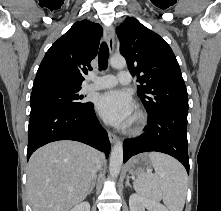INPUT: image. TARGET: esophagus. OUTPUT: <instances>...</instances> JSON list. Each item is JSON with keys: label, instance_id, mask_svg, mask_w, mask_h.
I'll list each match as a JSON object with an SVG mask.
<instances>
[{"label": "esophagus", "instance_id": "1", "mask_svg": "<svg viewBox=\"0 0 221 211\" xmlns=\"http://www.w3.org/2000/svg\"><path fill=\"white\" fill-rule=\"evenodd\" d=\"M104 33H105L106 41L109 47V51L110 53H113L114 44H115L114 28L112 26H106L104 27ZM108 136L112 144H114L117 141V136L114 133L108 132Z\"/></svg>", "mask_w": 221, "mask_h": 211}]
</instances>
